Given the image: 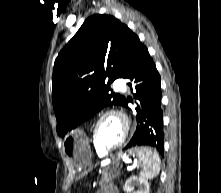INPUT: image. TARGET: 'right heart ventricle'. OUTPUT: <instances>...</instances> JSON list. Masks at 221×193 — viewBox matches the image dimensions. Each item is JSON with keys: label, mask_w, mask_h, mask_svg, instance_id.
Masks as SVG:
<instances>
[{"label": "right heart ventricle", "mask_w": 221, "mask_h": 193, "mask_svg": "<svg viewBox=\"0 0 221 193\" xmlns=\"http://www.w3.org/2000/svg\"><path fill=\"white\" fill-rule=\"evenodd\" d=\"M95 152H96L99 156H103V155H104V152L101 151L100 149H98L96 146H95Z\"/></svg>", "instance_id": "obj_1"}]
</instances>
